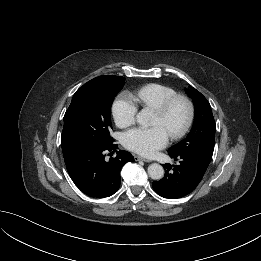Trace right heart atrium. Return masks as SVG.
<instances>
[{"instance_id": "obj_1", "label": "right heart atrium", "mask_w": 261, "mask_h": 261, "mask_svg": "<svg viewBox=\"0 0 261 261\" xmlns=\"http://www.w3.org/2000/svg\"><path fill=\"white\" fill-rule=\"evenodd\" d=\"M137 106L128 95H120L112 105V116L116 125L125 128L132 125L137 115Z\"/></svg>"}]
</instances>
